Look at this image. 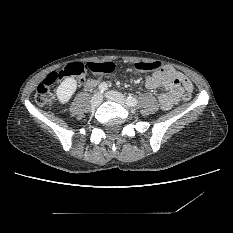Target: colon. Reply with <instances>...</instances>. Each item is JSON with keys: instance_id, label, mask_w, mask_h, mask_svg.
<instances>
[{"instance_id": "1", "label": "colon", "mask_w": 233, "mask_h": 233, "mask_svg": "<svg viewBox=\"0 0 233 233\" xmlns=\"http://www.w3.org/2000/svg\"><path fill=\"white\" fill-rule=\"evenodd\" d=\"M163 67L161 62H145L140 61L134 64V69L139 72H152L157 71ZM85 69L92 72L99 73L101 75L111 74L115 67L110 63H89L83 65L82 63H70L64 69L60 71H53L49 73L45 79L37 86L35 91L34 99L38 105H45L51 102V87L59 82L64 76L77 77L80 80L83 78ZM191 99V93L186 91L182 100L188 102Z\"/></svg>"}]
</instances>
